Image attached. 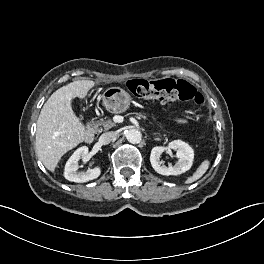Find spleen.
Listing matches in <instances>:
<instances>
[{
    "label": "spleen",
    "instance_id": "obj_1",
    "mask_svg": "<svg viewBox=\"0 0 264 264\" xmlns=\"http://www.w3.org/2000/svg\"><path fill=\"white\" fill-rule=\"evenodd\" d=\"M209 165H210V161L208 159H205L199 165V167L196 169V171L193 173V175L187 178L185 183L190 184V183H193V182L197 181L198 179H200L205 174V172L208 170Z\"/></svg>",
    "mask_w": 264,
    "mask_h": 264
}]
</instances>
